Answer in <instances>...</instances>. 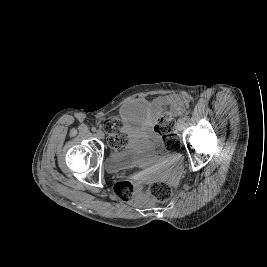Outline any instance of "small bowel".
Segmentation results:
<instances>
[{"instance_id": "small-bowel-1", "label": "small bowel", "mask_w": 267, "mask_h": 267, "mask_svg": "<svg viewBox=\"0 0 267 267\" xmlns=\"http://www.w3.org/2000/svg\"><path fill=\"white\" fill-rule=\"evenodd\" d=\"M165 106H170L173 111L181 112L187 106V99L184 97H162L154 103V108L148 120L130 129L129 133L133 139L150 140L158 142V135L154 131V126L161 110Z\"/></svg>"}]
</instances>
